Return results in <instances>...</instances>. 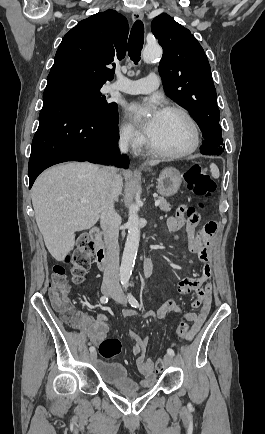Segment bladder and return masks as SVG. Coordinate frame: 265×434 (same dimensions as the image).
I'll return each instance as SVG.
<instances>
[{
  "instance_id": "31cf9c89",
  "label": "bladder",
  "mask_w": 265,
  "mask_h": 434,
  "mask_svg": "<svg viewBox=\"0 0 265 434\" xmlns=\"http://www.w3.org/2000/svg\"><path fill=\"white\" fill-rule=\"evenodd\" d=\"M97 371L105 383L124 396L134 397L143 391L142 387L128 376L126 368L119 362H98Z\"/></svg>"
}]
</instances>
